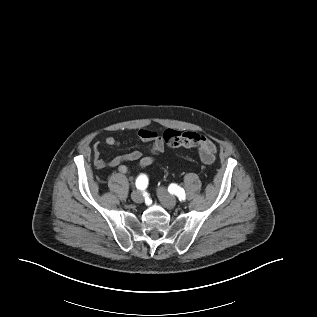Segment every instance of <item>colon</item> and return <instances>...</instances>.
I'll return each mask as SVG.
<instances>
[{
  "label": "colon",
  "mask_w": 317,
  "mask_h": 317,
  "mask_svg": "<svg viewBox=\"0 0 317 317\" xmlns=\"http://www.w3.org/2000/svg\"><path fill=\"white\" fill-rule=\"evenodd\" d=\"M162 139L170 148H189L198 146L201 137L198 133L192 131L167 129L163 132Z\"/></svg>",
  "instance_id": "obj_1"
}]
</instances>
